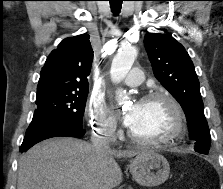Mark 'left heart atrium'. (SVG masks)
<instances>
[{
	"label": "left heart atrium",
	"mask_w": 223,
	"mask_h": 189,
	"mask_svg": "<svg viewBox=\"0 0 223 189\" xmlns=\"http://www.w3.org/2000/svg\"><path fill=\"white\" fill-rule=\"evenodd\" d=\"M138 114H139V104H136L123 116V123L126 126L131 127L136 121Z\"/></svg>",
	"instance_id": "1"
}]
</instances>
